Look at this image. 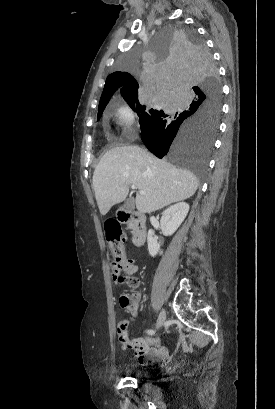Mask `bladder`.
Listing matches in <instances>:
<instances>
[{
    "mask_svg": "<svg viewBox=\"0 0 275 409\" xmlns=\"http://www.w3.org/2000/svg\"><path fill=\"white\" fill-rule=\"evenodd\" d=\"M134 371H135V373H138L139 370H138V369H135Z\"/></svg>",
    "mask_w": 275,
    "mask_h": 409,
    "instance_id": "1",
    "label": "bladder"
}]
</instances>
